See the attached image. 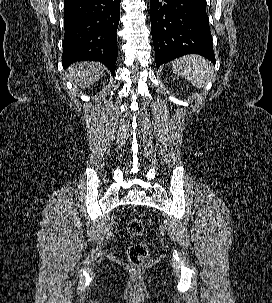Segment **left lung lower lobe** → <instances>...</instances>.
<instances>
[{
    "label": "left lung lower lobe",
    "instance_id": "1",
    "mask_svg": "<svg viewBox=\"0 0 272 303\" xmlns=\"http://www.w3.org/2000/svg\"><path fill=\"white\" fill-rule=\"evenodd\" d=\"M150 16L157 68L191 53L215 64L206 0H150Z\"/></svg>",
    "mask_w": 272,
    "mask_h": 303
}]
</instances>
